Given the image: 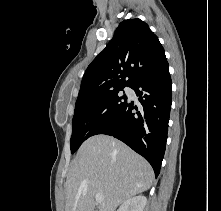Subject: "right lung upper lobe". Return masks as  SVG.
I'll return each instance as SVG.
<instances>
[{
  "instance_id": "right-lung-upper-lobe-1",
  "label": "right lung upper lobe",
  "mask_w": 221,
  "mask_h": 211,
  "mask_svg": "<svg viewBox=\"0 0 221 211\" xmlns=\"http://www.w3.org/2000/svg\"><path fill=\"white\" fill-rule=\"evenodd\" d=\"M167 65L164 49L148 25L138 18L124 20L85 71L78 98L131 86Z\"/></svg>"
}]
</instances>
